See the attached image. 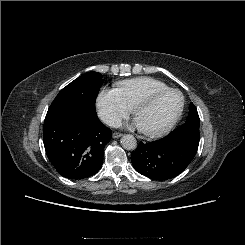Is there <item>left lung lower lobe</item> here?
I'll return each instance as SVG.
<instances>
[{"label":"left lung lower lobe","instance_id":"left-lung-lower-lobe-1","mask_svg":"<svg viewBox=\"0 0 245 245\" xmlns=\"http://www.w3.org/2000/svg\"><path fill=\"white\" fill-rule=\"evenodd\" d=\"M199 138L166 136L154 142H141L132 152L135 170L153 180L171 179L182 173L194 158Z\"/></svg>","mask_w":245,"mask_h":245}]
</instances>
